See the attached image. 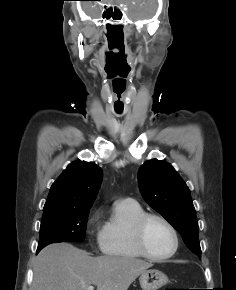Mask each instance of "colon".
Listing matches in <instances>:
<instances>
[{
  "label": "colon",
  "instance_id": "1",
  "mask_svg": "<svg viewBox=\"0 0 236 290\" xmlns=\"http://www.w3.org/2000/svg\"><path fill=\"white\" fill-rule=\"evenodd\" d=\"M164 290H177V289H169V288H166V289H164Z\"/></svg>",
  "mask_w": 236,
  "mask_h": 290
}]
</instances>
